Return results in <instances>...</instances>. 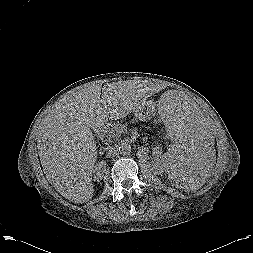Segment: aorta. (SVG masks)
I'll use <instances>...</instances> for the list:
<instances>
[{
	"mask_svg": "<svg viewBox=\"0 0 253 253\" xmlns=\"http://www.w3.org/2000/svg\"><path fill=\"white\" fill-rule=\"evenodd\" d=\"M118 151L121 155H129L131 153V145L128 142H122L118 145Z\"/></svg>",
	"mask_w": 253,
	"mask_h": 253,
	"instance_id": "1",
	"label": "aorta"
}]
</instances>
